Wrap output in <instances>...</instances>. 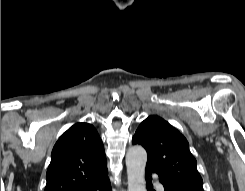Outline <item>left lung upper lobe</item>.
<instances>
[{
	"label": "left lung upper lobe",
	"mask_w": 245,
	"mask_h": 191,
	"mask_svg": "<svg viewBox=\"0 0 245 191\" xmlns=\"http://www.w3.org/2000/svg\"><path fill=\"white\" fill-rule=\"evenodd\" d=\"M132 143L146 149L147 171L185 191H204L187 139L163 118L156 115L146 118L135 132Z\"/></svg>",
	"instance_id": "1"
}]
</instances>
